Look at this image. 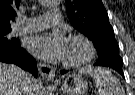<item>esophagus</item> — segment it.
<instances>
[{
  "instance_id": "1",
  "label": "esophagus",
  "mask_w": 135,
  "mask_h": 95,
  "mask_svg": "<svg viewBox=\"0 0 135 95\" xmlns=\"http://www.w3.org/2000/svg\"><path fill=\"white\" fill-rule=\"evenodd\" d=\"M38 70L43 78L48 81H53L55 78V70L47 64L38 63Z\"/></svg>"
}]
</instances>
